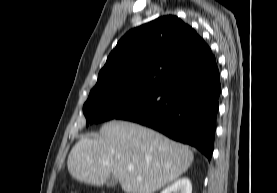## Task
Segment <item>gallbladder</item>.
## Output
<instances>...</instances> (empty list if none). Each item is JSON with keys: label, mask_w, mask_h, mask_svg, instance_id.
Here are the masks:
<instances>
[{"label": "gallbladder", "mask_w": 277, "mask_h": 193, "mask_svg": "<svg viewBox=\"0 0 277 193\" xmlns=\"http://www.w3.org/2000/svg\"><path fill=\"white\" fill-rule=\"evenodd\" d=\"M117 183H118L117 179H115L113 176H110L105 182V184L108 188L115 187L117 185Z\"/></svg>", "instance_id": "gallbladder-1"}]
</instances>
